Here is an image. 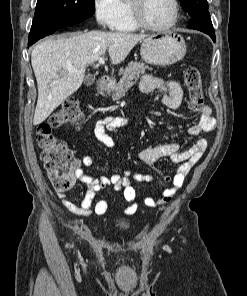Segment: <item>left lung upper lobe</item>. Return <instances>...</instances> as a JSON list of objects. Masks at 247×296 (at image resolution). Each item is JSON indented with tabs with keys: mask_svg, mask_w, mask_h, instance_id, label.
Segmentation results:
<instances>
[{
	"mask_svg": "<svg viewBox=\"0 0 247 296\" xmlns=\"http://www.w3.org/2000/svg\"><path fill=\"white\" fill-rule=\"evenodd\" d=\"M184 10L192 17L208 12L207 0H180Z\"/></svg>",
	"mask_w": 247,
	"mask_h": 296,
	"instance_id": "5c2ea615",
	"label": "left lung upper lobe"
}]
</instances>
